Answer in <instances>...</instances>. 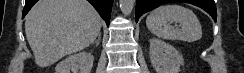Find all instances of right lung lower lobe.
<instances>
[{
  "mask_svg": "<svg viewBox=\"0 0 244 73\" xmlns=\"http://www.w3.org/2000/svg\"><path fill=\"white\" fill-rule=\"evenodd\" d=\"M37 1L38 0H26L25 7L23 9L22 18L25 17V15L29 12V10ZM87 1H89L94 6V8L99 12L100 16L105 20L107 26H109L113 0H87Z\"/></svg>",
  "mask_w": 244,
  "mask_h": 73,
  "instance_id": "right-lung-lower-lobe-1",
  "label": "right lung lower lobe"
}]
</instances>
